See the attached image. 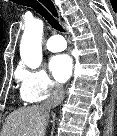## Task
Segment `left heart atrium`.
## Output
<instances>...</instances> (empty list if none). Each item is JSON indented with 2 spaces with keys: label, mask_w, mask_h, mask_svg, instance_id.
I'll use <instances>...</instances> for the list:
<instances>
[{
  "label": "left heart atrium",
  "mask_w": 117,
  "mask_h": 136,
  "mask_svg": "<svg viewBox=\"0 0 117 136\" xmlns=\"http://www.w3.org/2000/svg\"><path fill=\"white\" fill-rule=\"evenodd\" d=\"M50 69L54 78L60 82H65L72 71V61L67 54L54 56L50 61Z\"/></svg>",
  "instance_id": "1"
}]
</instances>
